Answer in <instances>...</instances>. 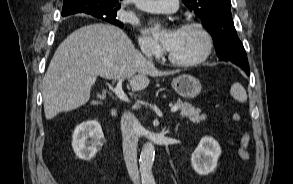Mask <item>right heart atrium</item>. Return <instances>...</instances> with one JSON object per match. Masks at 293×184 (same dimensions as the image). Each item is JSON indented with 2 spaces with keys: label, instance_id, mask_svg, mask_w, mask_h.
Listing matches in <instances>:
<instances>
[{
  "label": "right heart atrium",
  "instance_id": "obj_1",
  "mask_svg": "<svg viewBox=\"0 0 293 184\" xmlns=\"http://www.w3.org/2000/svg\"><path fill=\"white\" fill-rule=\"evenodd\" d=\"M139 46L142 52L149 56H156L160 53V47L154 39L147 34H142L139 39Z\"/></svg>",
  "mask_w": 293,
  "mask_h": 184
}]
</instances>
